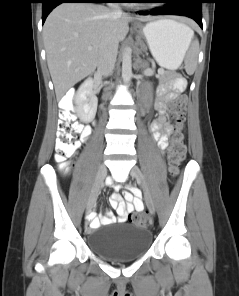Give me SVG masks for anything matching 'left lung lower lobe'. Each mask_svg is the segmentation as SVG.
Segmentation results:
<instances>
[{
    "label": "left lung lower lobe",
    "instance_id": "1",
    "mask_svg": "<svg viewBox=\"0 0 239 296\" xmlns=\"http://www.w3.org/2000/svg\"><path fill=\"white\" fill-rule=\"evenodd\" d=\"M167 7L156 8L153 11H139L140 15H180L192 18L195 20L201 28L202 24V3L203 0H170Z\"/></svg>",
    "mask_w": 239,
    "mask_h": 296
}]
</instances>
